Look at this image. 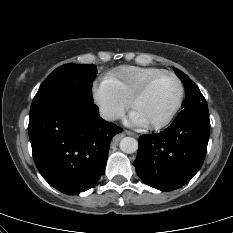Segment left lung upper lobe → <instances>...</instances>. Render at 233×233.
Segmentation results:
<instances>
[{
    "mask_svg": "<svg viewBox=\"0 0 233 233\" xmlns=\"http://www.w3.org/2000/svg\"><path fill=\"white\" fill-rule=\"evenodd\" d=\"M174 71L176 75L181 79L185 87L186 97L182 106L183 108L188 107L194 103L205 101V98L200 92L197 85L191 79H189L185 73L178 70L177 68H174Z\"/></svg>",
    "mask_w": 233,
    "mask_h": 233,
    "instance_id": "left-lung-upper-lobe-1",
    "label": "left lung upper lobe"
}]
</instances>
